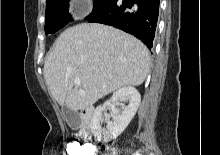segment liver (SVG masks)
<instances>
[{
	"mask_svg": "<svg viewBox=\"0 0 220 155\" xmlns=\"http://www.w3.org/2000/svg\"><path fill=\"white\" fill-rule=\"evenodd\" d=\"M149 68L150 53L141 41L111 26L82 23L57 38L45 60L44 78L60 105L78 111L120 88L141 85ZM75 78L79 87H74Z\"/></svg>",
	"mask_w": 220,
	"mask_h": 155,
	"instance_id": "liver-1",
	"label": "liver"
}]
</instances>
